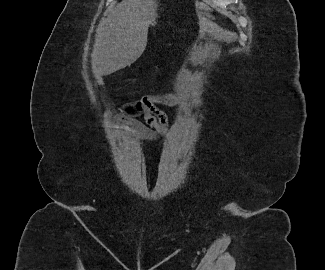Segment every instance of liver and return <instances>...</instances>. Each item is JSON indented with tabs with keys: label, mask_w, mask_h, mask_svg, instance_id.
<instances>
[{
	"label": "liver",
	"mask_w": 325,
	"mask_h": 270,
	"mask_svg": "<svg viewBox=\"0 0 325 270\" xmlns=\"http://www.w3.org/2000/svg\"><path fill=\"white\" fill-rule=\"evenodd\" d=\"M157 7L155 0H122L109 10L97 28L92 53L99 74L109 75L142 55Z\"/></svg>",
	"instance_id": "obj_1"
}]
</instances>
